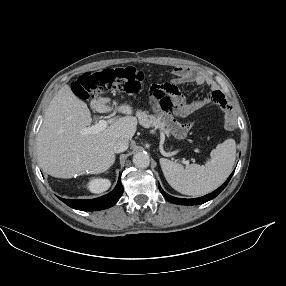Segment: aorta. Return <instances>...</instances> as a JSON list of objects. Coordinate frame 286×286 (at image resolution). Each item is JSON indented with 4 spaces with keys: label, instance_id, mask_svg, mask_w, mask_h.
Instances as JSON below:
<instances>
[{
    "label": "aorta",
    "instance_id": "aorta-1",
    "mask_svg": "<svg viewBox=\"0 0 286 286\" xmlns=\"http://www.w3.org/2000/svg\"><path fill=\"white\" fill-rule=\"evenodd\" d=\"M133 163L137 168H147L150 165V157L146 152H138L133 156Z\"/></svg>",
    "mask_w": 286,
    "mask_h": 286
}]
</instances>
